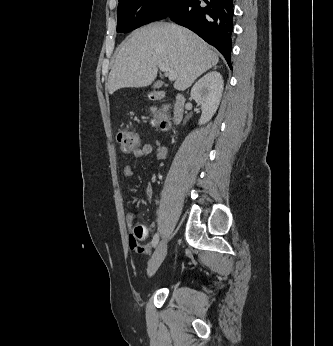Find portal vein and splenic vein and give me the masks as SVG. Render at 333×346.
<instances>
[{
  "label": "portal vein and splenic vein",
  "instance_id": "obj_1",
  "mask_svg": "<svg viewBox=\"0 0 333 346\" xmlns=\"http://www.w3.org/2000/svg\"><path fill=\"white\" fill-rule=\"evenodd\" d=\"M159 69L165 73L166 76H168V79L170 81H174L177 78V73L174 69H171L170 67H168L165 64H159L158 65Z\"/></svg>",
  "mask_w": 333,
  "mask_h": 346
}]
</instances>
